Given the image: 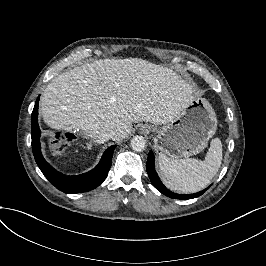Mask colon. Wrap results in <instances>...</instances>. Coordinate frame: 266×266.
Wrapping results in <instances>:
<instances>
[{"label": "colon", "mask_w": 266, "mask_h": 266, "mask_svg": "<svg viewBox=\"0 0 266 266\" xmlns=\"http://www.w3.org/2000/svg\"><path fill=\"white\" fill-rule=\"evenodd\" d=\"M50 147L53 150L62 151L64 149V137L61 134H56L50 142Z\"/></svg>", "instance_id": "colon-1"}]
</instances>
